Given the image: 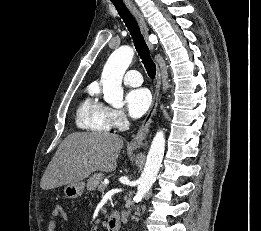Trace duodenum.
Returning a JSON list of instances; mask_svg holds the SVG:
<instances>
[{
    "label": "duodenum",
    "mask_w": 261,
    "mask_h": 231,
    "mask_svg": "<svg viewBox=\"0 0 261 231\" xmlns=\"http://www.w3.org/2000/svg\"><path fill=\"white\" fill-rule=\"evenodd\" d=\"M122 221L120 212H113L106 221V227L109 231H118Z\"/></svg>",
    "instance_id": "duodenum-1"
}]
</instances>
